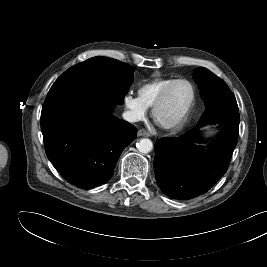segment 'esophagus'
Wrapping results in <instances>:
<instances>
[{
  "instance_id": "esophagus-1",
  "label": "esophagus",
  "mask_w": 267,
  "mask_h": 267,
  "mask_svg": "<svg viewBox=\"0 0 267 267\" xmlns=\"http://www.w3.org/2000/svg\"><path fill=\"white\" fill-rule=\"evenodd\" d=\"M137 135L138 136H149L150 134L146 130L140 129V130H138Z\"/></svg>"
}]
</instances>
